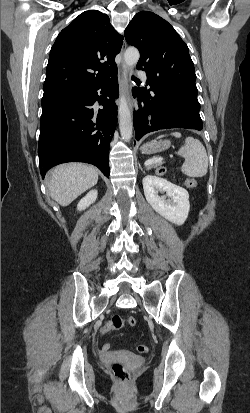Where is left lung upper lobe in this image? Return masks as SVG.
<instances>
[{
    "instance_id": "1",
    "label": "left lung upper lobe",
    "mask_w": 250,
    "mask_h": 413,
    "mask_svg": "<svg viewBox=\"0 0 250 413\" xmlns=\"http://www.w3.org/2000/svg\"><path fill=\"white\" fill-rule=\"evenodd\" d=\"M128 44L140 51L138 70L158 84L173 80L181 85L195 83L194 64L188 46L174 28L153 12L137 13L125 32Z\"/></svg>"
}]
</instances>
